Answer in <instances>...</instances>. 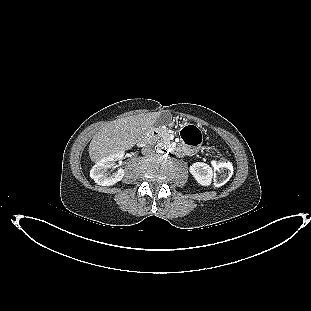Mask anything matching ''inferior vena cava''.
Segmentation results:
<instances>
[{"label":"inferior vena cava","mask_w":311,"mask_h":311,"mask_svg":"<svg viewBox=\"0 0 311 311\" xmlns=\"http://www.w3.org/2000/svg\"><path fill=\"white\" fill-rule=\"evenodd\" d=\"M154 149L151 145H146L142 148V154L147 155V154H153Z\"/></svg>","instance_id":"obj_1"}]
</instances>
